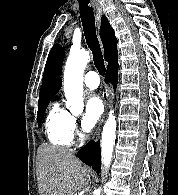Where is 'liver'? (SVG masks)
<instances>
[{
    "label": "liver",
    "mask_w": 178,
    "mask_h": 195,
    "mask_svg": "<svg viewBox=\"0 0 178 195\" xmlns=\"http://www.w3.org/2000/svg\"><path fill=\"white\" fill-rule=\"evenodd\" d=\"M37 179L40 195H74L90 181L87 168L73 154L42 144L38 148Z\"/></svg>",
    "instance_id": "6515ba94"
}]
</instances>
